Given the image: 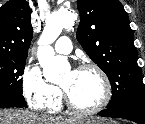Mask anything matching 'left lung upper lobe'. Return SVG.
Returning a JSON list of instances; mask_svg holds the SVG:
<instances>
[{
    "label": "left lung upper lobe",
    "instance_id": "5c2ea615",
    "mask_svg": "<svg viewBox=\"0 0 145 124\" xmlns=\"http://www.w3.org/2000/svg\"><path fill=\"white\" fill-rule=\"evenodd\" d=\"M81 15L76 37L89 57L106 73L112 86L107 108H145L142 72L129 18L118 0H78Z\"/></svg>",
    "mask_w": 145,
    "mask_h": 124
}]
</instances>
